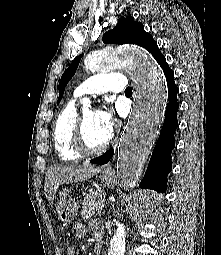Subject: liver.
<instances>
[{"label": "liver", "instance_id": "1", "mask_svg": "<svg viewBox=\"0 0 221 255\" xmlns=\"http://www.w3.org/2000/svg\"><path fill=\"white\" fill-rule=\"evenodd\" d=\"M99 172H101V167H97L87 162L83 163L81 166L73 164L50 168L45 177V196L49 203L52 204L60 185L82 182L90 179Z\"/></svg>", "mask_w": 221, "mask_h": 255}]
</instances>
